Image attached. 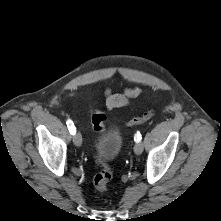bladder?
I'll return each instance as SVG.
<instances>
[{"label":"bladder","instance_id":"bladder-1","mask_svg":"<svg viewBox=\"0 0 221 221\" xmlns=\"http://www.w3.org/2000/svg\"><path fill=\"white\" fill-rule=\"evenodd\" d=\"M122 133L117 128H112L106 134L102 135L97 141L99 156L102 160L114 159L122 146Z\"/></svg>","mask_w":221,"mask_h":221}]
</instances>
